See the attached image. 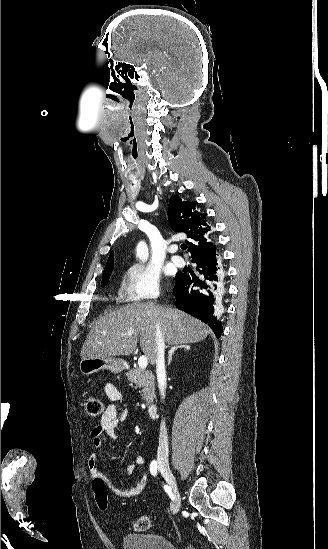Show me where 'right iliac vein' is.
Instances as JSON below:
<instances>
[{
	"instance_id": "1",
	"label": "right iliac vein",
	"mask_w": 328,
	"mask_h": 549,
	"mask_svg": "<svg viewBox=\"0 0 328 549\" xmlns=\"http://www.w3.org/2000/svg\"><path fill=\"white\" fill-rule=\"evenodd\" d=\"M158 465H159V469H160L162 475L164 476V478L166 479V481L169 483V485L171 486V488L173 490V495H174V499H175L173 514H176L180 510V507H181V498H180V494H179V491H178V488H177L175 478H174L171 470L169 469V466H168L166 461L159 460Z\"/></svg>"
}]
</instances>
